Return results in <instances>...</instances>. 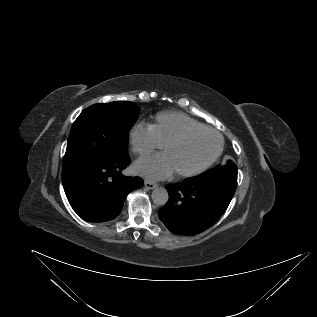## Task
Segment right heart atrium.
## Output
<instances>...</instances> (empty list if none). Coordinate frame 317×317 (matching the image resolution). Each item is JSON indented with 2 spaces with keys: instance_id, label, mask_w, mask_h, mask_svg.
<instances>
[{
  "instance_id": "obj_1",
  "label": "right heart atrium",
  "mask_w": 317,
  "mask_h": 317,
  "mask_svg": "<svg viewBox=\"0 0 317 317\" xmlns=\"http://www.w3.org/2000/svg\"><path fill=\"white\" fill-rule=\"evenodd\" d=\"M129 141L132 151L140 156L148 155L162 147L151 126L144 122H137L131 127Z\"/></svg>"
}]
</instances>
